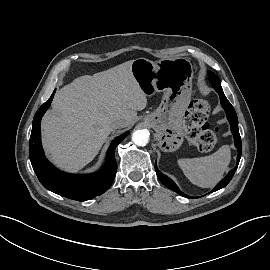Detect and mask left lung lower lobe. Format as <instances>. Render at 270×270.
<instances>
[{
    "label": "left lung lower lobe",
    "instance_id": "obj_1",
    "mask_svg": "<svg viewBox=\"0 0 270 270\" xmlns=\"http://www.w3.org/2000/svg\"><path fill=\"white\" fill-rule=\"evenodd\" d=\"M220 95V101H221V105L224 108V110L226 111V115H227V119L230 122V126H231V132L233 133L234 136V143L236 148L238 149V156H237V166L230 170V172L228 173V175L219 182V184L212 190V192L217 191L223 187H225L232 179L240 158H241V153H242V144H241V138H240V134H239V129H238V119H237V115L236 112L233 108V106L230 104V102L227 100L226 96L224 95V93H219ZM155 170H156V174L159 177L160 181L169 189L173 190L174 192L180 194L183 197L186 198H192L190 196L185 195L183 192H181L178 187L174 184V182L168 178L167 176H165L164 174H162L156 164H155Z\"/></svg>",
    "mask_w": 270,
    "mask_h": 270
}]
</instances>
